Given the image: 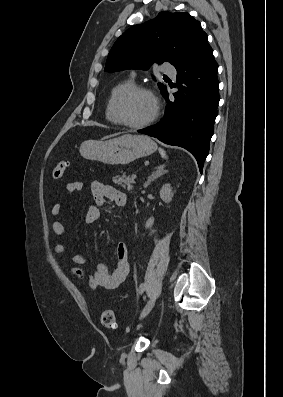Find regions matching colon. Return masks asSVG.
<instances>
[{"label": "colon", "instance_id": "1", "mask_svg": "<svg viewBox=\"0 0 283 397\" xmlns=\"http://www.w3.org/2000/svg\"><path fill=\"white\" fill-rule=\"evenodd\" d=\"M68 167V162H58L52 169L51 176L53 179H61ZM101 324L109 329H115L117 327L115 313L113 310L107 309L101 314Z\"/></svg>", "mask_w": 283, "mask_h": 397}]
</instances>
